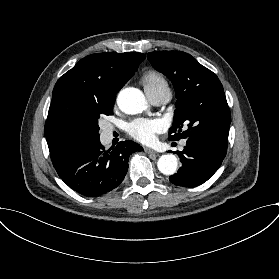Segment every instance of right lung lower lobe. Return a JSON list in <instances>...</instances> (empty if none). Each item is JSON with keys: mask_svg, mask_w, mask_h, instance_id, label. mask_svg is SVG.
<instances>
[{"mask_svg": "<svg viewBox=\"0 0 279 279\" xmlns=\"http://www.w3.org/2000/svg\"><path fill=\"white\" fill-rule=\"evenodd\" d=\"M142 150L133 141H121L112 151H105L98 140L55 169L70 188L81 195L96 197L111 191L123 181L129 156Z\"/></svg>", "mask_w": 279, "mask_h": 279, "instance_id": "1", "label": "right lung lower lobe"}]
</instances>
